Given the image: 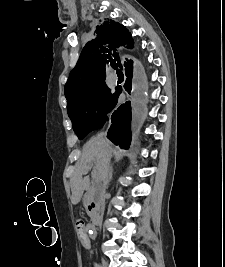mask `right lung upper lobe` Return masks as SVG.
<instances>
[{"label":"right lung upper lobe","mask_w":225,"mask_h":267,"mask_svg":"<svg viewBox=\"0 0 225 267\" xmlns=\"http://www.w3.org/2000/svg\"><path fill=\"white\" fill-rule=\"evenodd\" d=\"M97 37L88 42L82 50L75 68L70 73L65 85L67 103L78 99L89 88L105 83L109 66L116 62L122 69L124 55L121 47L132 48L131 34L122 24L113 20L104 22L96 29ZM128 61V59H126Z\"/></svg>","instance_id":"obj_1"}]
</instances>
